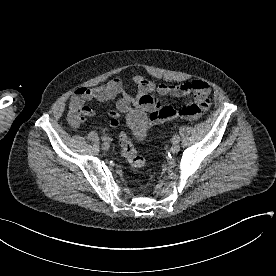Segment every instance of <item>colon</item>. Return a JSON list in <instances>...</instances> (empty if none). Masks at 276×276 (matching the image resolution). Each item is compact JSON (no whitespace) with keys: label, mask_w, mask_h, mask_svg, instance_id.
<instances>
[{"label":"colon","mask_w":276,"mask_h":276,"mask_svg":"<svg viewBox=\"0 0 276 276\" xmlns=\"http://www.w3.org/2000/svg\"><path fill=\"white\" fill-rule=\"evenodd\" d=\"M149 120L151 123L154 122L151 116L149 117ZM119 142L122 155L133 168H144L146 166V160L137 153L136 148L127 133L122 132L120 134Z\"/></svg>","instance_id":"colon-1"}]
</instances>
